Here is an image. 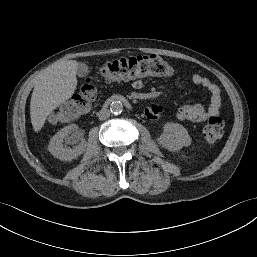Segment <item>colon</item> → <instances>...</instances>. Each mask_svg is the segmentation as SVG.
I'll return each mask as SVG.
<instances>
[{"label": "colon", "instance_id": "colon-1", "mask_svg": "<svg viewBox=\"0 0 257 257\" xmlns=\"http://www.w3.org/2000/svg\"><path fill=\"white\" fill-rule=\"evenodd\" d=\"M100 74L108 81H130L142 77L166 76L171 66L158 55H139L115 59L104 63ZM96 99V88L90 77H86L80 90L71 100L63 103L51 116L54 121H70L87 113ZM208 141H216L223 136L224 122L219 117L210 118L202 128Z\"/></svg>", "mask_w": 257, "mask_h": 257}]
</instances>
